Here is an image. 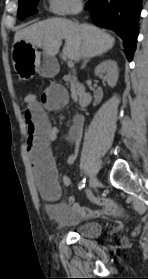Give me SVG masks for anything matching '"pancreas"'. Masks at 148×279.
<instances>
[{
    "label": "pancreas",
    "mask_w": 148,
    "mask_h": 279,
    "mask_svg": "<svg viewBox=\"0 0 148 279\" xmlns=\"http://www.w3.org/2000/svg\"><path fill=\"white\" fill-rule=\"evenodd\" d=\"M63 79L70 83L71 85V97L77 101L78 96L80 95V84L78 83L75 76L66 75Z\"/></svg>",
    "instance_id": "pancreas-1"
}]
</instances>
